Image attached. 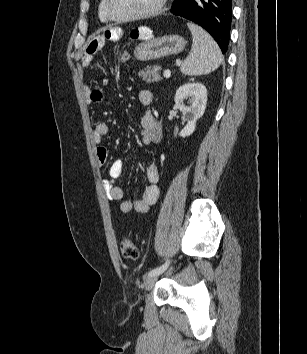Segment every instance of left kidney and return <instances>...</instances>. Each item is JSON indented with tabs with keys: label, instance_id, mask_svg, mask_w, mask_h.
Wrapping results in <instances>:
<instances>
[{
	"label": "left kidney",
	"instance_id": "obj_1",
	"mask_svg": "<svg viewBox=\"0 0 307 354\" xmlns=\"http://www.w3.org/2000/svg\"><path fill=\"white\" fill-rule=\"evenodd\" d=\"M174 101L187 119V125L180 131L179 136L188 137L195 131L197 120L204 114L207 89L201 83L182 85L177 89ZM186 101L188 105L185 104Z\"/></svg>",
	"mask_w": 307,
	"mask_h": 354
}]
</instances>
